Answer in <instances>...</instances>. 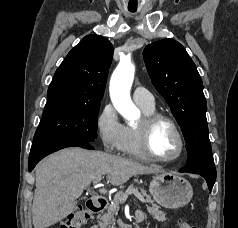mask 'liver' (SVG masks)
<instances>
[{"label":"liver","mask_w":238,"mask_h":228,"mask_svg":"<svg viewBox=\"0 0 238 228\" xmlns=\"http://www.w3.org/2000/svg\"><path fill=\"white\" fill-rule=\"evenodd\" d=\"M158 172L157 168L101 151L63 149L36 166L34 228H47L66 218L75 209L84 188L105 174L108 182L119 186L133 176Z\"/></svg>","instance_id":"6515ba94"}]
</instances>
